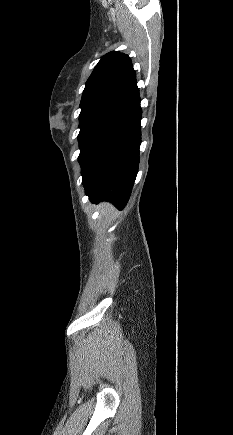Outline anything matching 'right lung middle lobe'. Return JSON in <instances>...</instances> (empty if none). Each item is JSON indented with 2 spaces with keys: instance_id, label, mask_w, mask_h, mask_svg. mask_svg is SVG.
I'll use <instances>...</instances> for the list:
<instances>
[{
  "instance_id": "1",
  "label": "right lung middle lobe",
  "mask_w": 233,
  "mask_h": 435,
  "mask_svg": "<svg viewBox=\"0 0 233 435\" xmlns=\"http://www.w3.org/2000/svg\"><path fill=\"white\" fill-rule=\"evenodd\" d=\"M124 116L111 113H98L79 117L80 132L78 135L80 164L92 149L111 131Z\"/></svg>"
}]
</instances>
